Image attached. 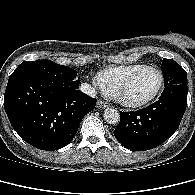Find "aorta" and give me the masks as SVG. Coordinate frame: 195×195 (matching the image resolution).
Listing matches in <instances>:
<instances>
[{
    "instance_id": "1",
    "label": "aorta",
    "mask_w": 195,
    "mask_h": 195,
    "mask_svg": "<svg viewBox=\"0 0 195 195\" xmlns=\"http://www.w3.org/2000/svg\"><path fill=\"white\" fill-rule=\"evenodd\" d=\"M103 116L105 121L109 124H117L120 121V114L114 108H106Z\"/></svg>"
}]
</instances>
